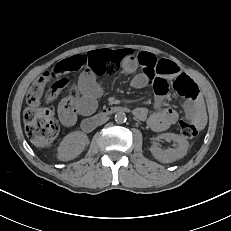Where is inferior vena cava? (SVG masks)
Returning a JSON list of instances; mask_svg holds the SVG:
<instances>
[{
  "instance_id": "obj_1",
  "label": "inferior vena cava",
  "mask_w": 231,
  "mask_h": 231,
  "mask_svg": "<svg viewBox=\"0 0 231 231\" xmlns=\"http://www.w3.org/2000/svg\"><path fill=\"white\" fill-rule=\"evenodd\" d=\"M109 122H112V116H107V117H105V118H102V119L98 122V124H99L100 126H105V124H108Z\"/></svg>"
}]
</instances>
